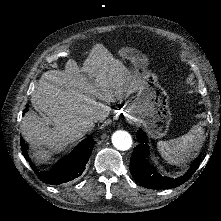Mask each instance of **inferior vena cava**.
Returning <instances> with one entry per match:
<instances>
[{
	"mask_svg": "<svg viewBox=\"0 0 221 221\" xmlns=\"http://www.w3.org/2000/svg\"><path fill=\"white\" fill-rule=\"evenodd\" d=\"M110 108L108 106L103 105L100 110L95 112L93 116L90 117V125L93 126L94 123L104 120L109 114Z\"/></svg>",
	"mask_w": 221,
	"mask_h": 221,
	"instance_id": "602c4592",
	"label": "inferior vena cava"
}]
</instances>
